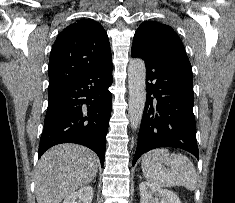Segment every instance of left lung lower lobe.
Listing matches in <instances>:
<instances>
[{"label":"left lung lower lobe","mask_w":235,"mask_h":203,"mask_svg":"<svg viewBox=\"0 0 235 203\" xmlns=\"http://www.w3.org/2000/svg\"><path fill=\"white\" fill-rule=\"evenodd\" d=\"M145 61L147 98L133 165L154 148L175 147L199 159L191 71L132 48Z\"/></svg>","instance_id":"left-lung-lower-lobe-1"}]
</instances>
